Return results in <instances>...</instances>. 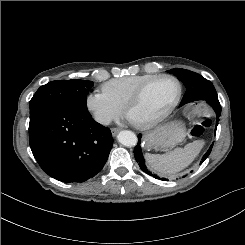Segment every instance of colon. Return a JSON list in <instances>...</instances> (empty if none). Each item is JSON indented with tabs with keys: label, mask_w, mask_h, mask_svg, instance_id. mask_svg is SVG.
I'll return each instance as SVG.
<instances>
[{
	"label": "colon",
	"mask_w": 245,
	"mask_h": 245,
	"mask_svg": "<svg viewBox=\"0 0 245 245\" xmlns=\"http://www.w3.org/2000/svg\"><path fill=\"white\" fill-rule=\"evenodd\" d=\"M211 121L207 117L201 118L198 123H196L190 130V134L192 137H198L201 136L204 131L210 127Z\"/></svg>",
	"instance_id": "obj_1"
}]
</instances>
